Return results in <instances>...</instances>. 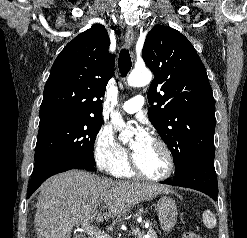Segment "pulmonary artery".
<instances>
[{"mask_svg":"<svg viewBox=\"0 0 247 238\" xmlns=\"http://www.w3.org/2000/svg\"><path fill=\"white\" fill-rule=\"evenodd\" d=\"M144 105V97L141 95L134 96L133 98L125 101L121 109L128 114H134L142 109Z\"/></svg>","mask_w":247,"mask_h":238,"instance_id":"obj_1","label":"pulmonary artery"}]
</instances>
